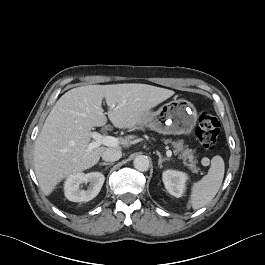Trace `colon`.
I'll use <instances>...</instances> for the list:
<instances>
[{
  "label": "colon",
  "mask_w": 265,
  "mask_h": 265,
  "mask_svg": "<svg viewBox=\"0 0 265 265\" xmlns=\"http://www.w3.org/2000/svg\"><path fill=\"white\" fill-rule=\"evenodd\" d=\"M220 123L216 117L208 112H201L198 117L196 136L205 150L215 147L219 134Z\"/></svg>",
  "instance_id": "1"
}]
</instances>
